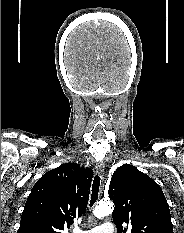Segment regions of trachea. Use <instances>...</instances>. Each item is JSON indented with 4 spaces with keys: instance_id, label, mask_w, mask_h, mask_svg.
<instances>
[{
    "instance_id": "trachea-1",
    "label": "trachea",
    "mask_w": 184,
    "mask_h": 233,
    "mask_svg": "<svg viewBox=\"0 0 184 233\" xmlns=\"http://www.w3.org/2000/svg\"><path fill=\"white\" fill-rule=\"evenodd\" d=\"M99 186H100V177L97 175L95 176L93 180V184H92V193H91V199H90L91 207L94 205V203L96 202L98 198Z\"/></svg>"
}]
</instances>
